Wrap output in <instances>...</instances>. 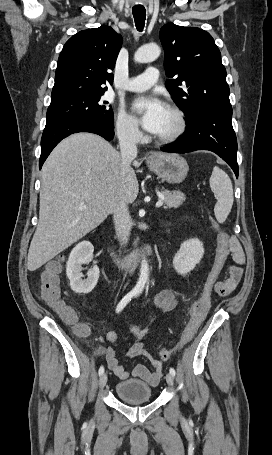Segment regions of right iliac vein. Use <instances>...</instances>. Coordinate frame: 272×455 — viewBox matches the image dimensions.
<instances>
[{
    "instance_id": "63e3f726",
    "label": "right iliac vein",
    "mask_w": 272,
    "mask_h": 455,
    "mask_svg": "<svg viewBox=\"0 0 272 455\" xmlns=\"http://www.w3.org/2000/svg\"><path fill=\"white\" fill-rule=\"evenodd\" d=\"M107 383V374L104 373L101 375L100 379H99V386L100 388H104V386L106 385Z\"/></svg>"
}]
</instances>
